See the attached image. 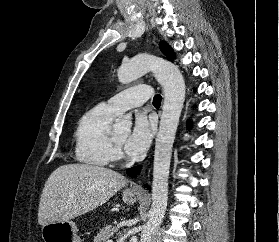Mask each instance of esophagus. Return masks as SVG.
Returning <instances> with one entry per match:
<instances>
[{
  "label": "esophagus",
  "instance_id": "obj_1",
  "mask_svg": "<svg viewBox=\"0 0 279 242\" xmlns=\"http://www.w3.org/2000/svg\"><path fill=\"white\" fill-rule=\"evenodd\" d=\"M131 190H132V191H140V187H139L138 185H133V186L131 187Z\"/></svg>",
  "mask_w": 279,
  "mask_h": 242
}]
</instances>
